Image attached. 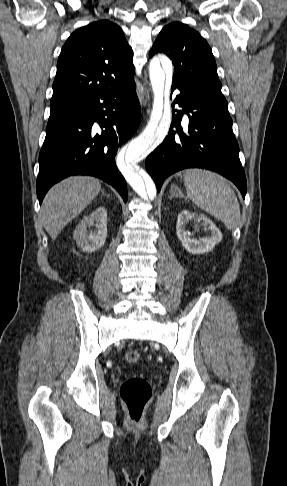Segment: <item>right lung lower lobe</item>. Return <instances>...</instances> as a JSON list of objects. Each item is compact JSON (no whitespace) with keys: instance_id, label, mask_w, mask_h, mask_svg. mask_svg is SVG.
Masks as SVG:
<instances>
[{"instance_id":"1","label":"right lung lower lobe","mask_w":287,"mask_h":486,"mask_svg":"<svg viewBox=\"0 0 287 486\" xmlns=\"http://www.w3.org/2000/svg\"><path fill=\"white\" fill-rule=\"evenodd\" d=\"M139 121L134 81L51 113L39 155L36 188L40 204L51 186L70 175L98 177L112 185L126 202V182L116 167L115 156L135 133Z\"/></svg>"}]
</instances>
